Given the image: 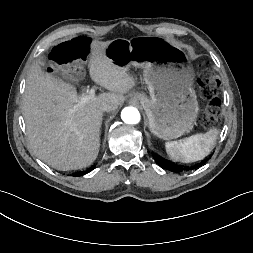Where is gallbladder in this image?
<instances>
[{"instance_id": "gallbladder-1", "label": "gallbladder", "mask_w": 253, "mask_h": 253, "mask_svg": "<svg viewBox=\"0 0 253 253\" xmlns=\"http://www.w3.org/2000/svg\"><path fill=\"white\" fill-rule=\"evenodd\" d=\"M40 62L43 63V65L46 64V61L44 59H42V58L40 59Z\"/></svg>"}]
</instances>
